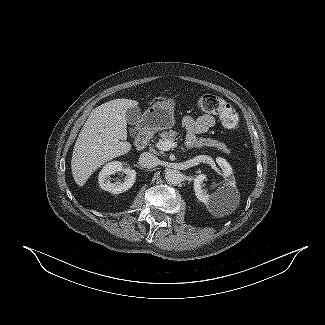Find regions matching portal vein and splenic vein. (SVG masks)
Instances as JSON below:
<instances>
[{"mask_svg": "<svg viewBox=\"0 0 325 325\" xmlns=\"http://www.w3.org/2000/svg\"><path fill=\"white\" fill-rule=\"evenodd\" d=\"M156 146H157L158 149H160L162 151H168L171 148L177 147V143H175L173 141L166 140V141H159L156 144Z\"/></svg>", "mask_w": 325, "mask_h": 325, "instance_id": "obj_1", "label": "portal vein and splenic vein"}]
</instances>
